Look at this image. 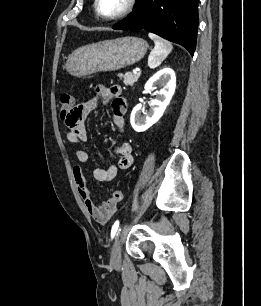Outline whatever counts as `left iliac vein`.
I'll return each mask as SVG.
<instances>
[{
	"instance_id": "4c4485c4",
	"label": "left iliac vein",
	"mask_w": 261,
	"mask_h": 306,
	"mask_svg": "<svg viewBox=\"0 0 261 306\" xmlns=\"http://www.w3.org/2000/svg\"><path fill=\"white\" fill-rule=\"evenodd\" d=\"M121 242H122V235L118 233L111 250V257L110 263L114 267H118L121 263Z\"/></svg>"
}]
</instances>
